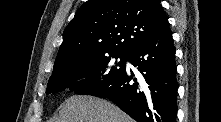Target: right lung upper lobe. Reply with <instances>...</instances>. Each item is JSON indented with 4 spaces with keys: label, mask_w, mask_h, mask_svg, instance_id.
Returning a JSON list of instances; mask_svg holds the SVG:
<instances>
[{
    "label": "right lung upper lobe",
    "mask_w": 221,
    "mask_h": 122,
    "mask_svg": "<svg viewBox=\"0 0 221 122\" xmlns=\"http://www.w3.org/2000/svg\"><path fill=\"white\" fill-rule=\"evenodd\" d=\"M167 24L159 0H88L63 32L52 76L94 58L129 56Z\"/></svg>",
    "instance_id": "obj_1"
}]
</instances>
